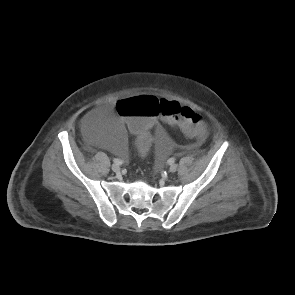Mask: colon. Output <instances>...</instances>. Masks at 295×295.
<instances>
[{
	"mask_svg": "<svg viewBox=\"0 0 295 295\" xmlns=\"http://www.w3.org/2000/svg\"><path fill=\"white\" fill-rule=\"evenodd\" d=\"M116 119L122 127L135 133L132 139V157L140 165L149 163L153 157L154 143L149 132L156 121H170L182 132L196 139L204 138L205 124L189 105H182L177 99L163 100L145 93L134 98L121 100L116 105Z\"/></svg>",
	"mask_w": 295,
	"mask_h": 295,
	"instance_id": "colon-1",
	"label": "colon"
}]
</instances>
